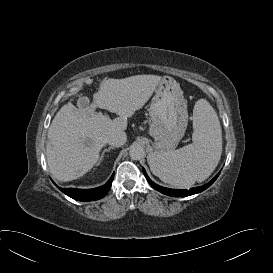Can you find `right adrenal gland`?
Returning a JSON list of instances; mask_svg holds the SVG:
<instances>
[{
  "label": "right adrenal gland",
  "mask_w": 273,
  "mask_h": 273,
  "mask_svg": "<svg viewBox=\"0 0 273 273\" xmlns=\"http://www.w3.org/2000/svg\"><path fill=\"white\" fill-rule=\"evenodd\" d=\"M111 149H114V147H109L108 149H104V150H103V152H102V154H101V157L99 158V161H98L97 165H99L100 162H102V160H103V158H104V154H105L106 152H109Z\"/></svg>",
  "instance_id": "right-adrenal-gland-1"
}]
</instances>
